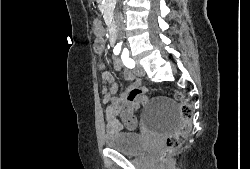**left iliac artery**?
Listing matches in <instances>:
<instances>
[{
    "label": "left iliac artery",
    "instance_id": "44dca946",
    "mask_svg": "<svg viewBox=\"0 0 250 169\" xmlns=\"http://www.w3.org/2000/svg\"><path fill=\"white\" fill-rule=\"evenodd\" d=\"M121 58H122V61L124 63V65L127 67V68H134L135 67V62L133 59H131L129 57V51L128 50H124L122 55H121Z\"/></svg>",
    "mask_w": 250,
    "mask_h": 169
}]
</instances>
